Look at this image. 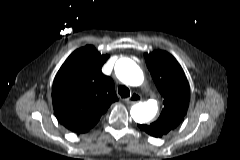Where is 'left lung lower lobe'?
Masks as SVG:
<instances>
[{
    "label": "left lung lower lobe",
    "instance_id": "left-lung-lower-lobe-1",
    "mask_svg": "<svg viewBox=\"0 0 240 160\" xmlns=\"http://www.w3.org/2000/svg\"><path fill=\"white\" fill-rule=\"evenodd\" d=\"M140 129L145 131L147 134L153 136V137H162L163 134L159 133L158 131L154 130L153 128H151L149 125L146 124H141L139 125Z\"/></svg>",
    "mask_w": 240,
    "mask_h": 160
}]
</instances>
